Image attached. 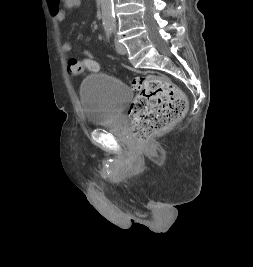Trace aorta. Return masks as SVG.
Masks as SVG:
<instances>
[{
    "instance_id": "aorta-1",
    "label": "aorta",
    "mask_w": 253,
    "mask_h": 267,
    "mask_svg": "<svg viewBox=\"0 0 253 267\" xmlns=\"http://www.w3.org/2000/svg\"><path fill=\"white\" fill-rule=\"evenodd\" d=\"M101 12L103 26H105V28L106 26H109V28H114L115 18L113 0H101Z\"/></svg>"
}]
</instances>
